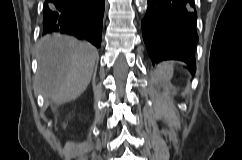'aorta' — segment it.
<instances>
[{
    "mask_svg": "<svg viewBox=\"0 0 242 160\" xmlns=\"http://www.w3.org/2000/svg\"><path fill=\"white\" fill-rule=\"evenodd\" d=\"M140 8H146L147 6V0H137Z\"/></svg>",
    "mask_w": 242,
    "mask_h": 160,
    "instance_id": "1",
    "label": "aorta"
}]
</instances>
